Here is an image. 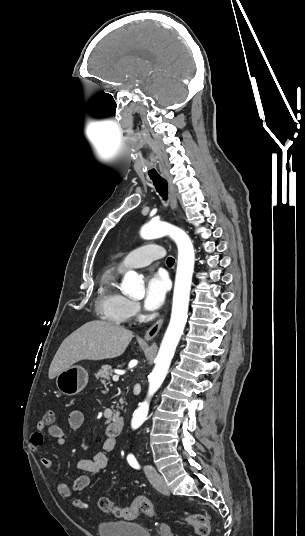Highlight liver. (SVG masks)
Wrapping results in <instances>:
<instances>
[{"mask_svg":"<svg viewBox=\"0 0 305 536\" xmlns=\"http://www.w3.org/2000/svg\"><path fill=\"white\" fill-rule=\"evenodd\" d=\"M132 334L130 330L109 322H87L65 338L58 348L49 368V380L80 360H106L121 356L130 344Z\"/></svg>","mask_w":305,"mask_h":536,"instance_id":"liver-1","label":"liver"}]
</instances>
